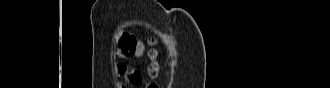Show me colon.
<instances>
[{"label": "colon", "instance_id": "5ec220e1", "mask_svg": "<svg viewBox=\"0 0 330 88\" xmlns=\"http://www.w3.org/2000/svg\"><path fill=\"white\" fill-rule=\"evenodd\" d=\"M135 37L128 33L123 32L119 39H118V48H119V54L122 57H130L134 54L135 51ZM152 48L148 52V56L150 58V64L147 68L148 75L152 78L157 77L159 73V64H158V56L159 51L156 47V41L154 39L151 40ZM153 86H149V88H152Z\"/></svg>", "mask_w": 330, "mask_h": 88}]
</instances>
